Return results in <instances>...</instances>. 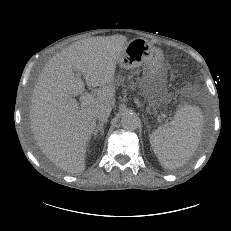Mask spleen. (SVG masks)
Instances as JSON below:
<instances>
[{
    "mask_svg": "<svg viewBox=\"0 0 231 231\" xmlns=\"http://www.w3.org/2000/svg\"><path fill=\"white\" fill-rule=\"evenodd\" d=\"M202 132L203 116L200 108L185 103L176 111L169 125L159 126L150 135V144L160 164L166 169H175L193 156Z\"/></svg>",
    "mask_w": 231,
    "mask_h": 231,
    "instance_id": "obj_1",
    "label": "spleen"
}]
</instances>
